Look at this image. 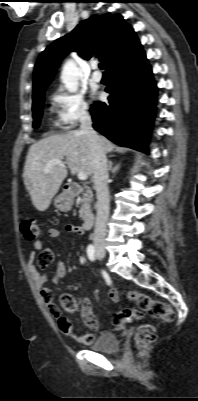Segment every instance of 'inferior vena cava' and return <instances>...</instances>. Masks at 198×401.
<instances>
[{
	"label": "inferior vena cava",
	"instance_id": "obj_1",
	"mask_svg": "<svg viewBox=\"0 0 198 401\" xmlns=\"http://www.w3.org/2000/svg\"><path fill=\"white\" fill-rule=\"evenodd\" d=\"M80 122V130L89 138L93 158V182L97 197V216L93 242L97 246L105 243L109 217L108 165L106 152L102 147L99 135L92 128V120L88 112L84 111L81 114Z\"/></svg>",
	"mask_w": 198,
	"mask_h": 401
}]
</instances>
